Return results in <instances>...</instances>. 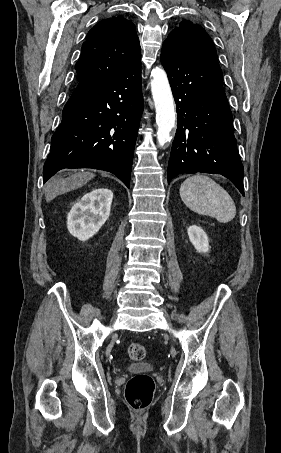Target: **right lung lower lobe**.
<instances>
[{"label": "right lung lower lobe", "instance_id": "right-lung-lower-lobe-1", "mask_svg": "<svg viewBox=\"0 0 281 453\" xmlns=\"http://www.w3.org/2000/svg\"><path fill=\"white\" fill-rule=\"evenodd\" d=\"M143 105L141 57L113 79L78 83L51 139L43 183L64 168H94L129 188Z\"/></svg>", "mask_w": 281, "mask_h": 453}]
</instances>
